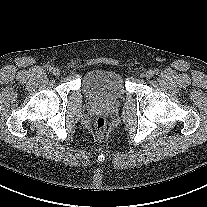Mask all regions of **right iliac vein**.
Returning a JSON list of instances; mask_svg holds the SVG:
<instances>
[{"label": "right iliac vein", "instance_id": "right-iliac-vein-1", "mask_svg": "<svg viewBox=\"0 0 207 207\" xmlns=\"http://www.w3.org/2000/svg\"><path fill=\"white\" fill-rule=\"evenodd\" d=\"M52 73L54 76L58 77L60 75V70L58 68H54Z\"/></svg>", "mask_w": 207, "mask_h": 207}]
</instances>
